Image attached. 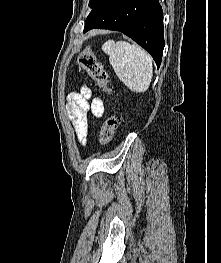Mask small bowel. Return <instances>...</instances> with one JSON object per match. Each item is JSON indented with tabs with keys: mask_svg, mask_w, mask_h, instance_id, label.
Segmentation results:
<instances>
[{
	"mask_svg": "<svg viewBox=\"0 0 221 263\" xmlns=\"http://www.w3.org/2000/svg\"><path fill=\"white\" fill-rule=\"evenodd\" d=\"M67 113L74 125L79 143L85 146L89 129V113L94 117H101L104 113V104L100 99L92 98L91 89L83 86L79 92L68 95Z\"/></svg>",
	"mask_w": 221,
	"mask_h": 263,
	"instance_id": "obj_1",
	"label": "small bowel"
}]
</instances>
